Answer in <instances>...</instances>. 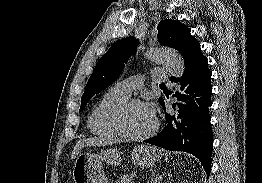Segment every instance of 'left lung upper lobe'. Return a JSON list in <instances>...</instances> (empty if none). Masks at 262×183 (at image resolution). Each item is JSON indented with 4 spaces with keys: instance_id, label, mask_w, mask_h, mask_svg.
Instances as JSON below:
<instances>
[{
    "instance_id": "left-lung-upper-lobe-1",
    "label": "left lung upper lobe",
    "mask_w": 262,
    "mask_h": 183,
    "mask_svg": "<svg viewBox=\"0 0 262 183\" xmlns=\"http://www.w3.org/2000/svg\"><path fill=\"white\" fill-rule=\"evenodd\" d=\"M158 41L161 45L178 50L186 61L200 49V44L190 34V30L179 21L166 19L158 25ZM138 41L134 37H127L116 41L99 59L86 85L81 98L82 111L89 100L103 89L112 84L124 69V63L136 52ZM162 97L159 98L161 102Z\"/></svg>"
}]
</instances>
